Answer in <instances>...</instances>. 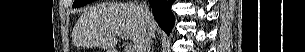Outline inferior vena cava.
Returning a JSON list of instances; mask_svg holds the SVG:
<instances>
[{
    "label": "inferior vena cava",
    "mask_w": 305,
    "mask_h": 52,
    "mask_svg": "<svg viewBox=\"0 0 305 52\" xmlns=\"http://www.w3.org/2000/svg\"><path fill=\"white\" fill-rule=\"evenodd\" d=\"M139 14L145 27L144 34L135 47L136 52H150V47L154 38V31L151 26L152 15L144 1L138 6Z\"/></svg>",
    "instance_id": "1"
}]
</instances>
